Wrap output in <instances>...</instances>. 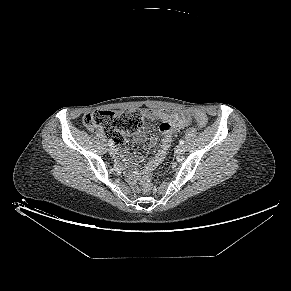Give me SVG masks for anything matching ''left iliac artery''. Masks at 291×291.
Wrapping results in <instances>:
<instances>
[{
    "label": "left iliac artery",
    "mask_w": 291,
    "mask_h": 291,
    "mask_svg": "<svg viewBox=\"0 0 291 291\" xmlns=\"http://www.w3.org/2000/svg\"><path fill=\"white\" fill-rule=\"evenodd\" d=\"M179 144H180V145H183V144H184V140H180V141H179Z\"/></svg>",
    "instance_id": "1"
}]
</instances>
